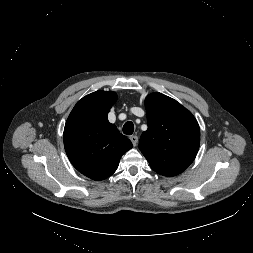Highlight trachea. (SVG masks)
<instances>
[{
    "label": "trachea",
    "mask_w": 253,
    "mask_h": 253,
    "mask_svg": "<svg viewBox=\"0 0 253 253\" xmlns=\"http://www.w3.org/2000/svg\"><path fill=\"white\" fill-rule=\"evenodd\" d=\"M134 132V124L131 121H128L123 126V133L126 135H131Z\"/></svg>",
    "instance_id": "1"
}]
</instances>
